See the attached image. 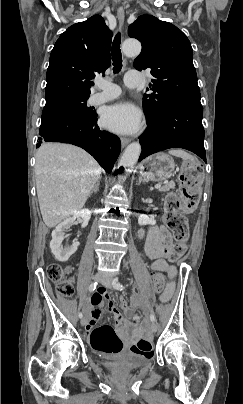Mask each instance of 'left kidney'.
<instances>
[{
	"instance_id": "1",
	"label": "left kidney",
	"mask_w": 243,
	"mask_h": 404,
	"mask_svg": "<svg viewBox=\"0 0 243 404\" xmlns=\"http://www.w3.org/2000/svg\"><path fill=\"white\" fill-rule=\"evenodd\" d=\"M138 224L139 226H147V224H151V226H154L156 224L155 220L153 218H149V216H145V214H141L138 218Z\"/></svg>"
}]
</instances>
